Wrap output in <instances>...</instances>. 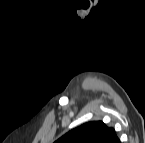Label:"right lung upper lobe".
<instances>
[{
	"label": "right lung upper lobe",
	"mask_w": 145,
	"mask_h": 143,
	"mask_svg": "<svg viewBox=\"0 0 145 143\" xmlns=\"http://www.w3.org/2000/svg\"><path fill=\"white\" fill-rule=\"evenodd\" d=\"M55 143H120L113 128L102 121L85 123L58 139Z\"/></svg>",
	"instance_id": "cb5924a9"
}]
</instances>
